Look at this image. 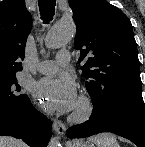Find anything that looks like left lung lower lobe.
Instances as JSON below:
<instances>
[{"instance_id": "obj_1", "label": "left lung lower lobe", "mask_w": 145, "mask_h": 147, "mask_svg": "<svg viewBox=\"0 0 145 147\" xmlns=\"http://www.w3.org/2000/svg\"><path fill=\"white\" fill-rule=\"evenodd\" d=\"M101 132H111L145 147V105L142 96L126 99L109 108L104 115L94 111L83 124L68 129V138H85Z\"/></svg>"}]
</instances>
